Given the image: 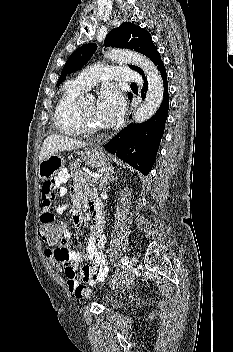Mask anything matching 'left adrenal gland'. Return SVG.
<instances>
[{
    "label": "left adrenal gland",
    "mask_w": 233,
    "mask_h": 352,
    "mask_svg": "<svg viewBox=\"0 0 233 352\" xmlns=\"http://www.w3.org/2000/svg\"><path fill=\"white\" fill-rule=\"evenodd\" d=\"M115 172L112 170L111 172H107L101 179H100V189H102L106 184L109 182H113L117 179V176H113Z\"/></svg>",
    "instance_id": "left-adrenal-gland-1"
}]
</instances>
